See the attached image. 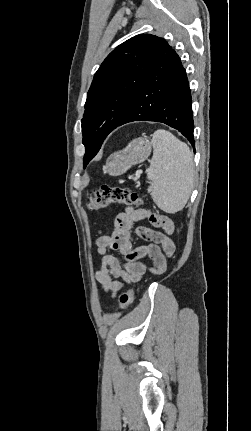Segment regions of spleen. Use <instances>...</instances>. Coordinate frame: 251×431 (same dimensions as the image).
Here are the masks:
<instances>
[{
    "label": "spleen",
    "mask_w": 251,
    "mask_h": 431,
    "mask_svg": "<svg viewBox=\"0 0 251 431\" xmlns=\"http://www.w3.org/2000/svg\"><path fill=\"white\" fill-rule=\"evenodd\" d=\"M153 156L147 169L148 191L166 213L182 210L194 183L193 155L186 143L169 131L159 129L152 137Z\"/></svg>",
    "instance_id": "obj_1"
}]
</instances>
